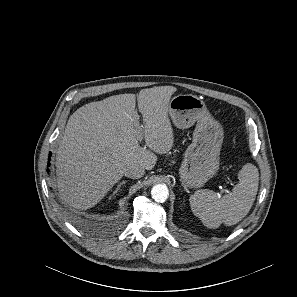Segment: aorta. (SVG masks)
Wrapping results in <instances>:
<instances>
[{"instance_id": "1", "label": "aorta", "mask_w": 297, "mask_h": 297, "mask_svg": "<svg viewBox=\"0 0 297 297\" xmlns=\"http://www.w3.org/2000/svg\"><path fill=\"white\" fill-rule=\"evenodd\" d=\"M151 195L156 202H164L169 196V191L166 185L158 184L152 188Z\"/></svg>"}]
</instances>
